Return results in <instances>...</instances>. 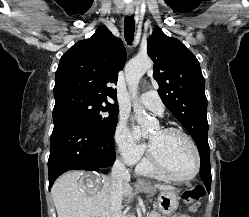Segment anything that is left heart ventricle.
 Listing matches in <instances>:
<instances>
[{"label": "left heart ventricle", "instance_id": "b2bd125f", "mask_svg": "<svg viewBox=\"0 0 249 217\" xmlns=\"http://www.w3.org/2000/svg\"><path fill=\"white\" fill-rule=\"evenodd\" d=\"M149 140L156 156L170 173L184 177L193 172L195 155L184 137L156 130Z\"/></svg>", "mask_w": 249, "mask_h": 217}]
</instances>
